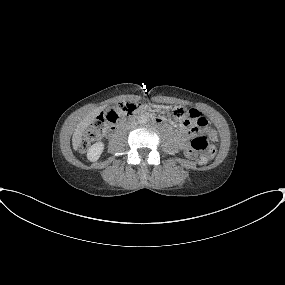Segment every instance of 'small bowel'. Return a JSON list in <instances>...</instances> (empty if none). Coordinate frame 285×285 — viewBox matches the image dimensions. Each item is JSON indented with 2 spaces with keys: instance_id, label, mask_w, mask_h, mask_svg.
Instances as JSON below:
<instances>
[{
  "instance_id": "obj_1",
  "label": "small bowel",
  "mask_w": 285,
  "mask_h": 285,
  "mask_svg": "<svg viewBox=\"0 0 285 285\" xmlns=\"http://www.w3.org/2000/svg\"><path fill=\"white\" fill-rule=\"evenodd\" d=\"M197 114V115H195ZM202 116V114L197 110V109H191L188 114L186 116L183 117V122L185 124V119L188 118V119H195V118H200ZM178 141H179V145H180V148L182 150H184L185 152V135L182 133L178 136ZM186 156L190 157V158H193L195 157V154L193 153H188V152H185Z\"/></svg>"
}]
</instances>
